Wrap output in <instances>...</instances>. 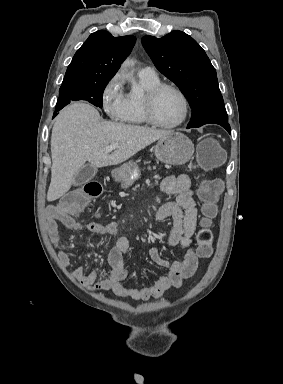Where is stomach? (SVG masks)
Returning <instances> with one entry per match:
<instances>
[{
    "label": "stomach",
    "instance_id": "stomach-1",
    "mask_svg": "<svg viewBox=\"0 0 283 384\" xmlns=\"http://www.w3.org/2000/svg\"><path fill=\"white\" fill-rule=\"evenodd\" d=\"M193 154L194 144L180 132H173L170 136L160 138L155 146L156 158L163 164H171V166H183L191 160ZM113 176L117 182H121L122 188H129L135 180H138L140 172L135 162H126L114 170Z\"/></svg>",
    "mask_w": 283,
    "mask_h": 384
}]
</instances>
